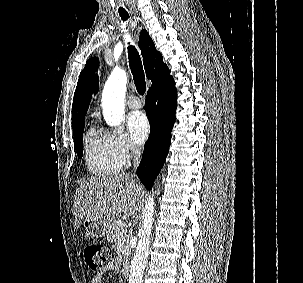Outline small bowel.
Wrapping results in <instances>:
<instances>
[{"label": "small bowel", "instance_id": "c3829d8e", "mask_svg": "<svg viewBox=\"0 0 303 283\" xmlns=\"http://www.w3.org/2000/svg\"><path fill=\"white\" fill-rule=\"evenodd\" d=\"M115 268V262L109 261L103 268L102 272L94 275L91 279V283H103V276L106 272H109Z\"/></svg>", "mask_w": 303, "mask_h": 283}]
</instances>
